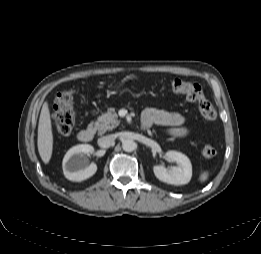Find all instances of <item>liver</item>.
Here are the masks:
<instances>
[{"instance_id": "1", "label": "liver", "mask_w": 261, "mask_h": 254, "mask_svg": "<svg viewBox=\"0 0 261 254\" xmlns=\"http://www.w3.org/2000/svg\"><path fill=\"white\" fill-rule=\"evenodd\" d=\"M37 146L42 161L45 164H48L53 151V133L50 111L47 102L43 104L40 113Z\"/></svg>"}]
</instances>
